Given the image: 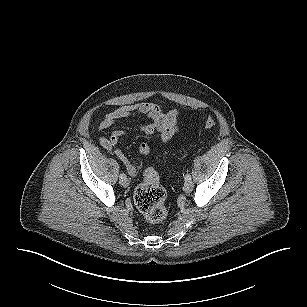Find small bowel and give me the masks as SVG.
<instances>
[{
  "label": "small bowel",
  "mask_w": 307,
  "mask_h": 307,
  "mask_svg": "<svg viewBox=\"0 0 307 307\" xmlns=\"http://www.w3.org/2000/svg\"><path fill=\"white\" fill-rule=\"evenodd\" d=\"M135 115L147 116L151 122L141 126V132L146 136L158 134L162 142H169L177 132V120L179 113L176 109L164 111L159 105L154 103H141L118 107L104 116L99 124L101 131L108 129L116 121ZM124 131L117 129L109 136L100 139L101 145L107 150H113L116 144L124 137ZM141 155L148 156L152 153L151 147L146 143L138 146ZM115 155L126 168L130 176H136L141 168V164H133L126 154L120 149H114Z\"/></svg>",
  "instance_id": "1"
}]
</instances>
